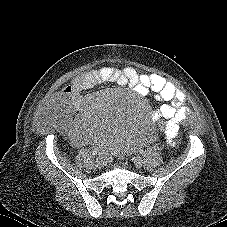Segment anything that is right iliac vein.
I'll return each instance as SVG.
<instances>
[{
  "label": "right iliac vein",
  "mask_w": 227,
  "mask_h": 227,
  "mask_svg": "<svg viewBox=\"0 0 227 227\" xmlns=\"http://www.w3.org/2000/svg\"><path fill=\"white\" fill-rule=\"evenodd\" d=\"M95 164H96V167L99 169L104 167V161L101 158H97Z\"/></svg>",
  "instance_id": "right-iliac-vein-1"
}]
</instances>
